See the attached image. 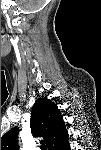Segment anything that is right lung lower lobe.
<instances>
[{"label": "right lung lower lobe", "instance_id": "obj_1", "mask_svg": "<svg viewBox=\"0 0 101 150\" xmlns=\"http://www.w3.org/2000/svg\"><path fill=\"white\" fill-rule=\"evenodd\" d=\"M70 147H69V144L68 142L61 148V150H69Z\"/></svg>", "mask_w": 101, "mask_h": 150}]
</instances>
